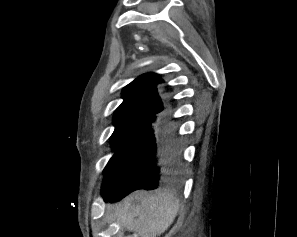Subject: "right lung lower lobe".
Masks as SVG:
<instances>
[{"mask_svg": "<svg viewBox=\"0 0 297 237\" xmlns=\"http://www.w3.org/2000/svg\"><path fill=\"white\" fill-rule=\"evenodd\" d=\"M168 108L157 116L128 157L116 188L102 189L105 201L121 200L137 189L153 190L180 169L176 130Z\"/></svg>", "mask_w": 297, "mask_h": 237, "instance_id": "1", "label": "right lung lower lobe"}]
</instances>
